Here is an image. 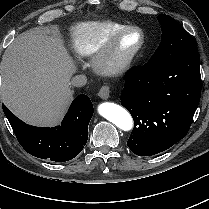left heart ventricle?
Here are the masks:
<instances>
[{
    "mask_svg": "<svg viewBox=\"0 0 209 209\" xmlns=\"http://www.w3.org/2000/svg\"><path fill=\"white\" fill-rule=\"evenodd\" d=\"M140 40L141 36L139 33L136 32L127 34L122 37L116 47L114 53L115 58H121L129 54L137 47V45L140 43Z\"/></svg>",
    "mask_w": 209,
    "mask_h": 209,
    "instance_id": "b2bd125f",
    "label": "left heart ventricle"
}]
</instances>
